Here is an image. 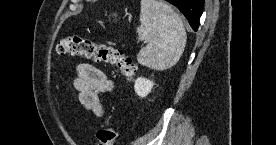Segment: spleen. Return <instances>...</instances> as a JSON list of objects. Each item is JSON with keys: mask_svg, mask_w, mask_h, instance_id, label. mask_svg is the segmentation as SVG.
Returning a JSON list of instances; mask_svg holds the SVG:
<instances>
[{"mask_svg": "<svg viewBox=\"0 0 276 145\" xmlns=\"http://www.w3.org/2000/svg\"><path fill=\"white\" fill-rule=\"evenodd\" d=\"M138 40L148 42L137 55V61L154 70L174 66L186 46V31L179 15L167 4L142 0Z\"/></svg>", "mask_w": 276, "mask_h": 145, "instance_id": "3e777b00", "label": "spleen"}]
</instances>
